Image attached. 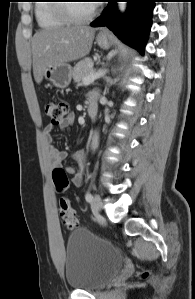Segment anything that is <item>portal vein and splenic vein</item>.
<instances>
[{"label":"portal vein and splenic vein","mask_w":195,"mask_h":299,"mask_svg":"<svg viewBox=\"0 0 195 299\" xmlns=\"http://www.w3.org/2000/svg\"><path fill=\"white\" fill-rule=\"evenodd\" d=\"M106 73V70H99L97 72H92L89 76L85 77L82 80V83L84 85H88L90 83H93L96 79L100 78Z\"/></svg>","instance_id":"portal-vein-and-splenic-vein-1"}]
</instances>
